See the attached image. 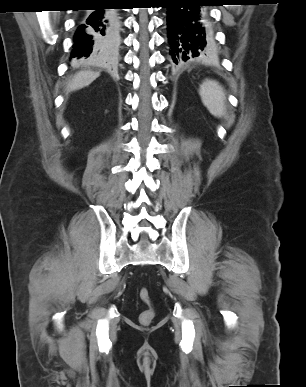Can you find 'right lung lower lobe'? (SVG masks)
Returning <instances> with one entry per match:
<instances>
[{"label": "right lung lower lobe", "mask_w": 306, "mask_h": 387, "mask_svg": "<svg viewBox=\"0 0 306 387\" xmlns=\"http://www.w3.org/2000/svg\"><path fill=\"white\" fill-rule=\"evenodd\" d=\"M105 3L79 15L71 58L82 64L110 63L117 54L119 21L116 9Z\"/></svg>", "instance_id": "obj_1"}]
</instances>
